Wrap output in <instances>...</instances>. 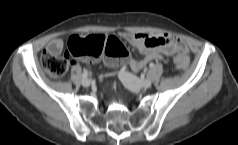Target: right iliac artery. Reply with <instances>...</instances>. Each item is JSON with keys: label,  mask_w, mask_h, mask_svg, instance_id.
<instances>
[{"label": "right iliac artery", "mask_w": 238, "mask_h": 145, "mask_svg": "<svg viewBox=\"0 0 238 145\" xmlns=\"http://www.w3.org/2000/svg\"><path fill=\"white\" fill-rule=\"evenodd\" d=\"M89 72L88 71H84L83 74H82V77L83 78H87L89 76Z\"/></svg>", "instance_id": "obj_1"}]
</instances>
